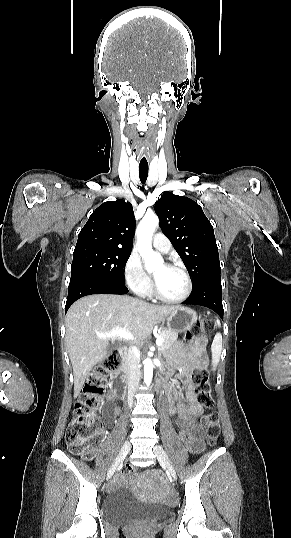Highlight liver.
I'll list each match as a JSON object with an SVG mask.
<instances>
[{
	"label": "liver",
	"instance_id": "1",
	"mask_svg": "<svg viewBox=\"0 0 291 538\" xmlns=\"http://www.w3.org/2000/svg\"><path fill=\"white\" fill-rule=\"evenodd\" d=\"M177 306H155L130 296L99 294L83 297L65 319L66 348L73 368L74 396H78L91 369L108 354L109 340L97 333L126 329L134 340L150 336L154 324Z\"/></svg>",
	"mask_w": 291,
	"mask_h": 538
}]
</instances>
